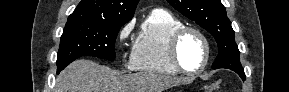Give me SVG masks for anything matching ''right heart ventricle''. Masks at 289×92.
I'll list each match as a JSON object with an SVG mask.
<instances>
[{
  "label": "right heart ventricle",
  "instance_id": "e07e8e85",
  "mask_svg": "<svg viewBox=\"0 0 289 92\" xmlns=\"http://www.w3.org/2000/svg\"><path fill=\"white\" fill-rule=\"evenodd\" d=\"M183 23L163 10L153 11L134 45L130 66L137 71L161 75H176L179 71L169 57V41Z\"/></svg>",
  "mask_w": 289,
  "mask_h": 92
}]
</instances>
